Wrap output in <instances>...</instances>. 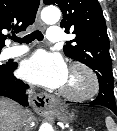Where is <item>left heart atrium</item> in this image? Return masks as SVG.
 <instances>
[{"mask_svg": "<svg viewBox=\"0 0 117 131\" xmlns=\"http://www.w3.org/2000/svg\"><path fill=\"white\" fill-rule=\"evenodd\" d=\"M20 73L31 83L59 88L64 85L68 70L60 55L41 50L22 63Z\"/></svg>", "mask_w": 117, "mask_h": 131, "instance_id": "1", "label": "left heart atrium"}]
</instances>
